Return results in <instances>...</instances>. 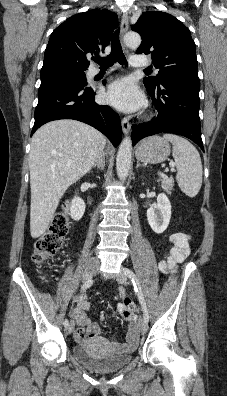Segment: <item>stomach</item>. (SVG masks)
I'll use <instances>...</instances> for the list:
<instances>
[{"label":"stomach","mask_w":227,"mask_h":396,"mask_svg":"<svg viewBox=\"0 0 227 396\" xmlns=\"http://www.w3.org/2000/svg\"><path fill=\"white\" fill-rule=\"evenodd\" d=\"M170 154V145L159 136L146 138L137 147L135 155L139 161L157 164L165 161Z\"/></svg>","instance_id":"stomach-1"}]
</instances>
